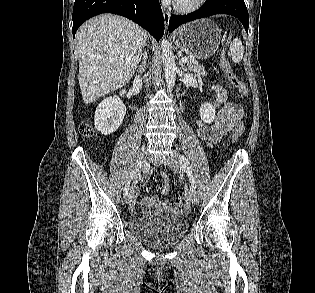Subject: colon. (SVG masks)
Listing matches in <instances>:
<instances>
[{
	"label": "colon",
	"instance_id": "obj_1",
	"mask_svg": "<svg viewBox=\"0 0 315 293\" xmlns=\"http://www.w3.org/2000/svg\"><path fill=\"white\" fill-rule=\"evenodd\" d=\"M228 41H231V38H228ZM225 47H228V42H225ZM224 52H227V49H224ZM221 59H222V67H223V70L225 72V75H226L228 81L236 89V91L238 92L240 97L242 99H245L248 95L247 85L245 84V82L240 80L237 77V75L234 73L232 67L230 66V64L227 61L228 56L226 55V53H223V55L221 56ZM243 128L244 127L241 126L235 130V132L233 133V136H232L233 141H236L240 137V135L243 132ZM80 132L84 137L89 138L93 135L94 130H93L92 125L89 122H83L80 126ZM175 203L179 207H185L187 204V201L184 197L177 196L175 199Z\"/></svg>",
	"mask_w": 315,
	"mask_h": 293
}]
</instances>
